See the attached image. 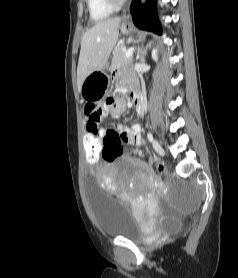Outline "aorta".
Here are the masks:
<instances>
[{
	"label": "aorta",
	"instance_id": "1",
	"mask_svg": "<svg viewBox=\"0 0 238 278\" xmlns=\"http://www.w3.org/2000/svg\"><path fill=\"white\" fill-rule=\"evenodd\" d=\"M146 0H141V3L144 4Z\"/></svg>",
	"mask_w": 238,
	"mask_h": 278
}]
</instances>
